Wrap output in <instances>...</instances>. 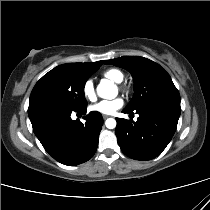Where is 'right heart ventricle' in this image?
Returning <instances> with one entry per match:
<instances>
[{
  "label": "right heart ventricle",
  "instance_id": "obj_1",
  "mask_svg": "<svg viewBox=\"0 0 210 210\" xmlns=\"http://www.w3.org/2000/svg\"><path fill=\"white\" fill-rule=\"evenodd\" d=\"M102 77L115 83H120L124 79L123 73L116 68H108L102 72Z\"/></svg>",
  "mask_w": 210,
  "mask_h": 210
}]
</instances>
